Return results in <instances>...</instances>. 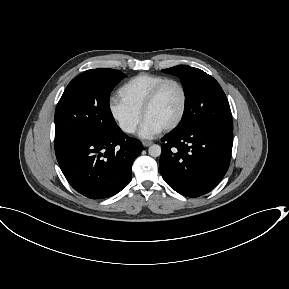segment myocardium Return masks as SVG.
Masks as SVG:
<instances>
[{
  "label": "myocardium",
  "mask_w": 289,
  "mask_h": 289,
  "mask_svg": "<svg viewBox=\"0 0 289 289\" xmlns=\"http://www.w3.org/2000/svg\"><path fill=\"white\" fill-rule=\"evenodd\" d=\"M170 83L177 85L178 88L180 89L181 94H182V106H181V110H180V113L177 116V118L172 123H170L169 125L164 127L163 128L164 131H171V130L177 128L181 124V122L183 121V119L186 115L187 108H188V92H187L186 87L184 86V84L181 81L174 79V78H166V79L162 80L161 82H159L149 92L148 96L146 97V99L142 105V109H141L142 117L145 118L147 111L154 104V102L156 101L157 97L159 96L161 90L164 88V86H166L167 84H170Z\"/></svg>",
  "instance_id": "f54148a6"
}]
</instances>
